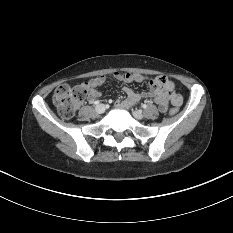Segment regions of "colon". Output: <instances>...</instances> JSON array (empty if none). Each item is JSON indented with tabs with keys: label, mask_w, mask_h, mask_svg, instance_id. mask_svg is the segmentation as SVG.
Returning <instances> with one entry per match:
<instances>
[{
	"label": "colon",
	"mask_w": 233,
	"mask_h": 233,
	"mask_svg": "<svg viewBox=\"0 0 233 233\" xmlns=\"http://www.w3.org/2000/svg\"><path fill=\"white\" fill-rule=\"evenodd\" d=\"M170 91V89H169ZM87 87L85 85H79L71 87L69 85H62L58 87L53 96V102L57 107V110L61 117L71 118L77 108L87 97ZM177 100V99H176ZM178 112V106L173 105L170 109V114L174 115Z\"/></svg>",
	"instance_id": "obj_1"
}]
</instances>
